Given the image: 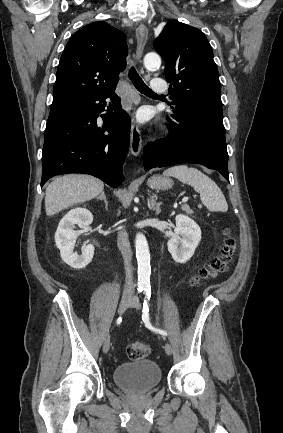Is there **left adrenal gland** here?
I'll use <instances>...</instances> for the list:
<instances>
[{
  "label": "left adrenal gland",
  "instance_id": "left-adrenal-gland-1",
  "mask_svg": "<svg viewBox=\"0 0 283 433\" xmlns=\"http://www.w3.org/2000/svg\"><path fill=\"white\" fill-rule=\"evenodd\" d=\"M161 204L162 202H156V194L148 198V206L150 210H155V214H159V212H161V208H160Z\"/></svg>",
  "mask_w": 283,
  "mask_h": 433
}]
</instances>
